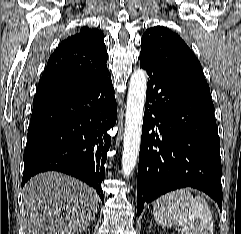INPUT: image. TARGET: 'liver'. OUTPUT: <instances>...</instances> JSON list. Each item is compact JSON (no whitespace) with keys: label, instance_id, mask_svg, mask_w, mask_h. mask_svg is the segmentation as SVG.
I'll return each mask as SVG.
<instances>
[{"label":"liver","instance_id":"6515ba94","mask_svg":"<svg viewBox=\"0 0 241 234\" xmlns=\"http://www.w3.org/2000/svg\"><path fill=\"white\" fill-rule=\"evenodd\" d=\"M96 191L58 172L32 177L23 188L26 234H79L93 221L98 209Z\"/></svg>","mask_w":241,"mask_h":234}]
</instances>
